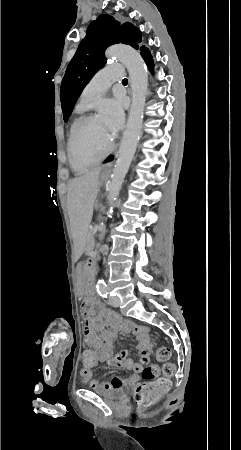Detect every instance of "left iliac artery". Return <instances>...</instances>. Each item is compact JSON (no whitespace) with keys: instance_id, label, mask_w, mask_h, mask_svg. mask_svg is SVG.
I'll return each instance as SVG.
<instances>
[{"instance_id":"obj_1","label":"left iliac artery","mask_w":241,"mask_h":450,"mask_svg":"<svg viewBox=\"0 0 241 450\" xmlns=\"http://www.w3.org/2000/svg\"><path fill=\"white\" fill-rule=\"evenodd\" d=\"M97 291H98L100 296H102L103 298H107L108 290H107V286L105 284L104 285H99L97 287Z\"/></svg>"}]
</instances>
